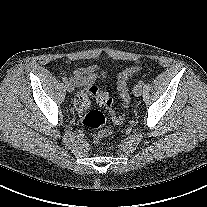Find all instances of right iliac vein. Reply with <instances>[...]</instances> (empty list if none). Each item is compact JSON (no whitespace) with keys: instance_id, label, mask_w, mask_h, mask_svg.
Returning a JSON list of instances; mask_svg holds the SVG:
<instances>
[{"instance_id":"obj_1","label":"right iliac vein","mask_w":207,"mask_h":207,"mask_svg":"<svg viewBox=\"0 0 207 207\" xmlns=\"http://www.w3.org/2000/svg\"><path fill=\"white\" fill-rule=\"evenodd\" d=\"M66 89H67L68 92H73L74 86L72 85L71 82L66 83Z\"/></svg>"}]
</instances>
